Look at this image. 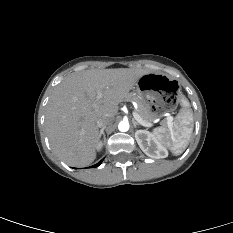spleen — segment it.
<instances>
[{"instance_id":"obj_1","label":"spleen","mask_w":233,"mask_h":233,"mask_svg":"<svg viewBox=\"0 0 233 233\" xmlns=\"http://www.w3.org/2000/svg\"><path fill=\"white\" fill-rule=\"evenodd\" d=\"M180 102L182 109L177 114L172 127H158L153 130L155 138L176 156L187 148L194 127L193 111L188 99L182 96Z\"/></svg>"}]
</instances>
